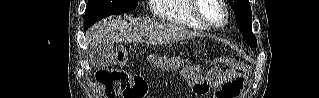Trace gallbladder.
<instances>
[{"mask_svg":"<svg viewBox=\"0 0 319 98\" xmlns=\"http://www.w3.org/2000/svg\"><path fill=\"white\" fill-rule=\"evenodd\" d=\"M91 63L96 68L108 66L113 61V47L100 44L91 50Z\"/></svg>","mask_w":319,"mask_h":98,"instance_id":"1","label":"gallbladder"}]
</instances>
